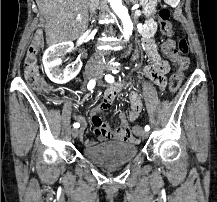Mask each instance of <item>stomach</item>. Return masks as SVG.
<instances>
[{"label":"stomach","instance_id":"stomach-1","mask_svg":"<svg viewBox=\"0 0 217 202\" xmlns=\"http://www.w3.org/2000/svg\"><path fill=\"white\" fill-rule=\"evenodd\" d=\"M139 2L143 8V14L151 16L157 6V0H139Z\"/></svg>","mask_w":217,"mask_h":202}]
</instances>
